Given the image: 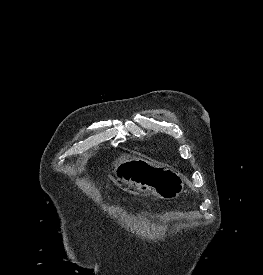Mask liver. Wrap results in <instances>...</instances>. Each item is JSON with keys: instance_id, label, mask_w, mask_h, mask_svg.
I'll list each match as a JSON object with an SVG mask.
<instances>
[{"instance_id": "liver-1", "label": "liver", "mask_w": 263, "mask_h": 275, "mask_svg": "<svg viewBox=\"0 0 263 275\" xmlns=\"http://www.w3.org/2000/svg\"><path fill=\"white\" fill-rule=\"evenodd\" d=\"M126 157H128V156L124 155V156H122V158H121L120 160H122V159H124V158H126ZM120 160H119V161H120Z\"/></svg>"}]
</instances>
